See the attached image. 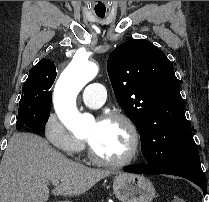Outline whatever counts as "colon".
I'll use <instances>...</instances> for the list:
<instances>
[{
	"label": "colon",
	"instance_id": "obj_1",
	"mask_svg": "<svg viewBox=\"0 0 209 202\" xmlns=\"http://www.w3.org/2000/svg\"><path fill=\"white\" fill-rule=\"evenodd\" d=\"M169 202H191V201L185 198H174Z\"/></svg>",
	"mask_w": 209,
	"mask_h": 202
}]
</instances>
